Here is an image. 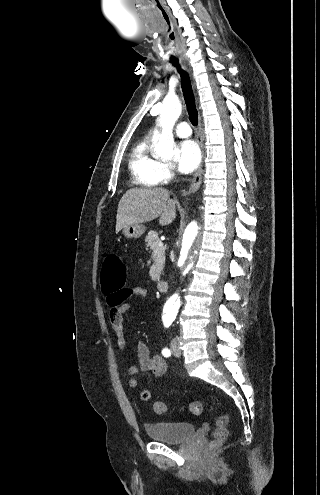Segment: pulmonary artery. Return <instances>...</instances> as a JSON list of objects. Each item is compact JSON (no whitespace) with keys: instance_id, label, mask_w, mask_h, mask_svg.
Returning a JSON list of instances; mask_svg holds the SVG:
<instances>
[{"instance_id":"obj_1","label":"pulmonary artery","mask_w":320,"mask_h":495,"mask_svg":"<svg viewBox=\"0 0 320 495\" xmlns=\"http://www.w3.org/2000/svg\"><path fill=\"white\" fill-rule=\"evenodd\" d=\"M176 134L179 137L186 138L191 135V128L187 122H180L175 128Z\"/></svg>"}]
</instances>
